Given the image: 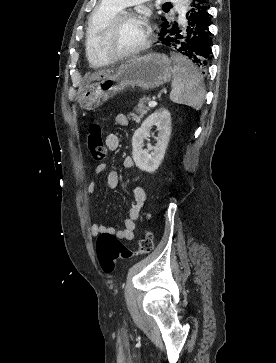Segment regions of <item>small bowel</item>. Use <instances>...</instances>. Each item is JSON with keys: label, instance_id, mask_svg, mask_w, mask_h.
I'll return each mask as SVG.
<instances>
[{"label": "small bowel", "instance_id": "obj_1", "mask_svg": "<svg viewBox=\"0 0 276 363\" xmlns=\"http://www.w3.org/2000/svg\"><path fill=\"white\" fill-rule=\"evenodd\" d=\"M116 125L125 127L129 121L125 114H117L115 117ZM106 146L110 151H115L119 148L120 140L115 134H108L105 139ZM123 166L126 169L134 168V162L131 157H126L123 161ZM106 170V165L101 164L96 168V173L99 174ZM107 186L111 189H115L119 186L120 178L119 174L115 170L108 171L106 174ZM87 193L93 195L96 190V183L94 180L89 181L87 185ZM134 204L129 208L126 218L123 221V225L119 229L113 227H106L97 223H94L90 228V233L93 236L101 233L113 234L119 239L131 241L135 237L136 221L139 219L145 200L146 194L141 186H137L133 190Z\"/></svg>", "mask_w": 276, "mask_h": 363}]
</instances>
